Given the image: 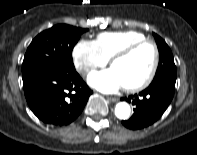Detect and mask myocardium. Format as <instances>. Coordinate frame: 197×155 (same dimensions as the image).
I'll return each instance as SVG.
<instances>
[{
  "label": "myocardium",
  "instance_id": "f54148a6",
  "mask_svg": "<svg viewBox=\"0 0 197 155\" xmlns=\"http://www.w3.org/2000/svg\"><path fill=\"white\" fill-rule=\"evenodd\" d=\"M144 45H150L153 48L154 51V59L152 67L148 73V75L142 80L140 83L132 85V86H123L124 90L130 93L139 92L145 88H147L151 82L153 81L156 72L158 70L159 61H160V53L157 44L150 40V39H144L140 41H136L133 43H130L120 50H118L116 53H114L110 58V66L113 65V63L119 59H122L128 55H130L132 52H134L136 49L144 46Z\"/></svg>",
  "mask_w": 197,
  "mask_h": 155
}]
</instances>
